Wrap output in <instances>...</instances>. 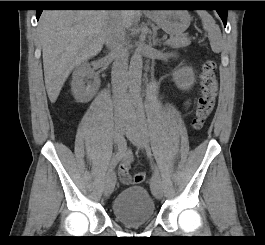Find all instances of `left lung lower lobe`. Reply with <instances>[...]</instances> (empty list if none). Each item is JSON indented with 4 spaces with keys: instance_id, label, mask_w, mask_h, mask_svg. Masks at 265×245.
Returning <instances> with one entry per match:
<instances>
[{
    "instance_id": "obj_1",
    "label": "left lung lower lobe",
    "mask_w": 265,
    "mask_h": 245,
    "mask_svg": "<svg viewBox=\"0 0 265 245\" xmlns=\"http://www.w3.org/2000/svg\"><path fill=\"white\" fill-rule=\"evenodd\" d=\"M183 1H158V4L161 5H166V6H176L179 4H182ZM219 14V16L221 17L224 25L226 26V22H227V9H218L216 10Z\"/></svg>"
}]
</instances>
